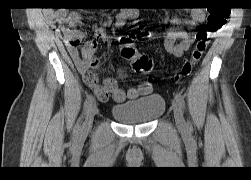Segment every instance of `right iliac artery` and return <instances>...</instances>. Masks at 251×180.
I'll return each instance as SVG.
<instances>
[{"label": "right iliac artery", "instance_id": "right-iliac-artery-1", "mask_svg": "<svg viewBox=\"0 0 251 180\" xmlns=\"http://www.w3.org/2000/svg\"><path fill=\"white\" fill-rule=\"evenodd\" d=\"M94 101H95L94 96L92 94H89L84 102L83 113L81 117L79 118V123L82 121L84 115L87 113L88 109L91 107ZM79 123L77 124L78 127H79Z\"/></svg>", "mask_w": 251, "mask_h": 180}]
</instances>
